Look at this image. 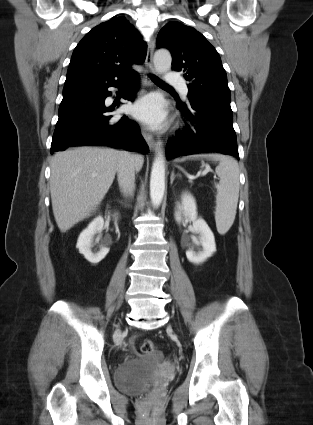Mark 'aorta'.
Here are the masks:
<instances>
[{
    "instance_id": "1",
    "label": "aorta",
    "mask_w": 313,
    "mask_h": 425,
    "mask_svg": "<svg viewBox=\"0 0 313 425\" xmlns=\"http://www.w3.org/2000/svg\"><path fill=\"white\" fill-rule=\"evenodd\" d=\"M172 57L168 50L160 49L154 54V67L157 73L162 74L171 68ZM165 191V161L162 149L157 148L150 176V197L154 206L162 202Z\"/></svg>"
}]
</instances>
